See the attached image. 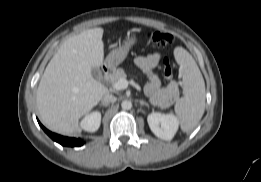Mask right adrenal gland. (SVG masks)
<instances>
[{
    "label": "right adrenal gland",
    "instance_id": "2a0ac1e0",
    "mask_svg": "<svg viewBox=\"0 0 261 182\" xmlns=\"http://www.w3.org/2000/svg\"><path fill=\"white\" fill-rule=\"evenodd\" d=\"M99 106H104V107H107L108 105L107 104H103L102 102L99 104Z\"/></svg>",
    "mask_w": 261,
    "mask_h": 182
}]
</instances>
